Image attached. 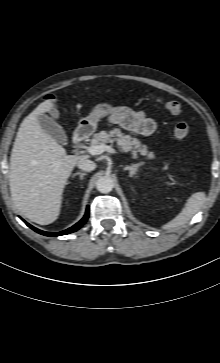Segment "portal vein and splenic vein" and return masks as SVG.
Wrapping results in <instances>:
<instances>
[{"instance_id": "18ae733b", "label": "portal vein and splenic vein", "mask_w": 220, "mask_h": 363, "mask_svg": "<svg viewBox=\"0 0 220 363\" xmlns=\"http://www.w3.org/2000/svg\"><path fill=\"white\" fill-rule=\"evenodd\" d=\"M87 151L92 155H99L105 151L114 153V154L118 153L114 148H112L111 146H107V145H91L87 148Z\"/></svg>"}]
</instances>
